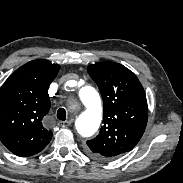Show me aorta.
I'll use <instances>...</instances> for the list:
<instances>
[{"label":"aorta","mask_w":183,"mask_h":183,"mask_svg":"<svg viewBox=\"0 0 183 183\" xmlns=\"http://www.w3.org/2000/svg\"><path fill=\"white\" fill-rule=\"evenodd\" d=\"M79 98L85 111L76 119V130L82 137H90L98 130L102 120L101 99L97 90L88 85L79 89Z\"/></svg>","instance_id":"aorta-1"}]
</instances>
